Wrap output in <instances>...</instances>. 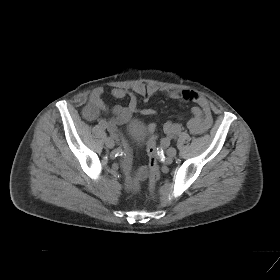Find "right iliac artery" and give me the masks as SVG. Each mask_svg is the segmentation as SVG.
<instances>
[{
	"label": "right iliac artery",
	"instance_id": "82829eb1",
	"mask_svg": "<svg viewBox=\"0 0 280 280\" xmlns=\"http://www.w3.org/2000/svg\"><path fill=\"white\" fill-rule=\"evenodd\" d=\"M99 126L102 129H106L108 127V124H107L106 120H100Z\"/></svg>",
	"mask_w": 280,
	"mask_h": 280
}]
</instances>
